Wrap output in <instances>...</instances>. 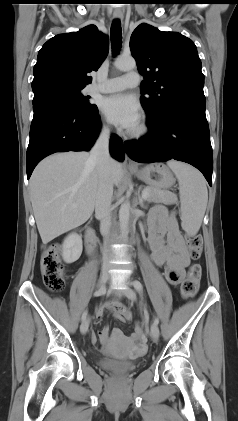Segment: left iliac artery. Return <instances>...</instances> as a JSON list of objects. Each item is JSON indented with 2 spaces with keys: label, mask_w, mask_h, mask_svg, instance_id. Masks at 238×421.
<instances>
[{
  "label": "left iliac artery",
  "mask_w": 238,
  "mask_h": 421,
  "mask_svg": "<svg viewBox=\"0 0 238 421\" xmlns=\"http://www.w3.org/2000/svg\"><path fill=\"white\" fill-rule=\"evenodd\" d=\"M132 284H133V286H134V288L136 289L137 292H139V293H142L143 292V286H142V284H141L140 281L135 280ZM158 323H159L158 318H155L154 319V324H158Z\"/></svg>",
  "instance_id": "1"
}]
</instances>
